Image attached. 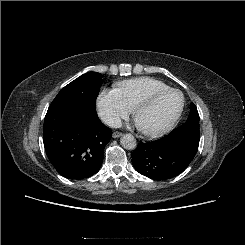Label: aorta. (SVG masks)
<instances>
[{
	"mask_svg": "<svg viewBox=\"0 0 245 245\" xmlns=\"http://www.w3.org/2000/svg\"><path fill=\"white\" fill-rule=\"evenodd\" d=\"M120 143L127 150H133L137 146L136 139L132 134H124L120 139Z\"/></svg>",
	"mask_w": 245,
	"mask_h": 245,
	"instance_id": "762f6f07",
	"label": "aorta"
}]
</instances>
